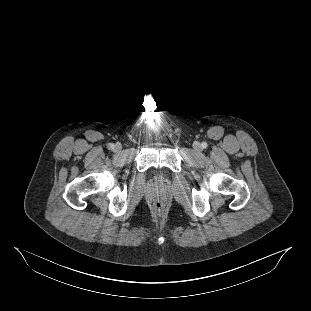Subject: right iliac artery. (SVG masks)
I'll list each match as a JSON object with an SVG mask.
<instances>
[{
  "instance_id": "obj_1",
  "label": "right iliac artery",
  "mask_w": 311,
  "mask_h": 311,
  "mask_svg": "<svg viewBox=\"0 0 311 311\" xmlns=\"http://www.w3.org/2000/svg\"><path fill=\"white\" fill-rule=\"evenodd\" d=\"M114 147V144L113 143H109L108 144V148L112 149Z\"/></svg>"
}]
</instances>
